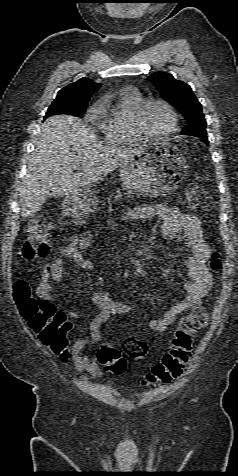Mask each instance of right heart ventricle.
Instances as JSON below:
<instances>
[{
  "label": "right heart ventricle",
  "instance_id": "obj_1",
  "mask_svg": "<svg viewBox=\"0 0 238 476\" xmlns=\"http://www.w3.org/2000/svg\"><path fill=\"white\" fill-rule=\"evenodd\" d=\"M144 100L133 89L110 95L96 110L98 129L102 137L113 145H134L141 142L133 130L135 110Z\"/></svg>",
  "mask_w": 238,
  "mask_h": 476
}]
</instances>
